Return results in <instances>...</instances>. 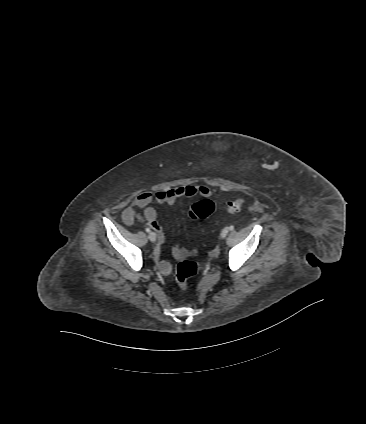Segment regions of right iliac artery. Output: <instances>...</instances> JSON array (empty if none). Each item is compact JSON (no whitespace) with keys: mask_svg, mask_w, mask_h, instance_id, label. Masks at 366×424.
<instances>
[{"mask_svg":"<svg viewBox=\"0 0 366 424\" xmlns=\"http://www.w3.org/2000/svg\"><path fill=\"white\" fill-rule=\"evenodd\" d=\"M150 231H151V230H150L149 228H146V232H148V233H149Z\"/></svg>","mask_w":366,"mask_h":424,"instance_id":"82829eb1","label":"right iliac artery"}]
</instances>
